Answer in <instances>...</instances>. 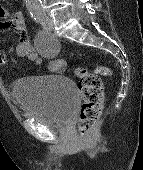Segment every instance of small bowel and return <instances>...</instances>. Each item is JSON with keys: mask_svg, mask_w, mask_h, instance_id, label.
<instances>
[{"mask_svg": "<svg viewBox=\"0 0 143 170\" xmlns=\"http://www.w3.org/2000/svg\"><path fill=\"white\" fill-rule=\"evenodd\" d=\"M9 29L16 30L20 35V39L16 46L17 55L35 61L36 63H41L43 56L37 51V49L30 43L27 38V26L23 13L19 10L9 12L6 8L0 5V31ZM50 45L54 51L58 49L57 42L51 40ZM60 61L61 59L52 58L48 64L49 69L53 72H58L57 67ZM5 64L6 54L0 48V66Z\"/></svg>", "mask_w": 143, "mask_h": 170, "instance_id": "c3829d8e", "label": "small bowel"}]
</instances>
